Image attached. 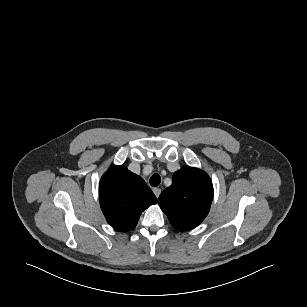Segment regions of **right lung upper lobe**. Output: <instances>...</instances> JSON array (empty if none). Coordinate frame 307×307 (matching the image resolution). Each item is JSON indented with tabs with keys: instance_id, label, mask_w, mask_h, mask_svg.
Returning a JSON list of instances; mask_svg holds the SVG:
<instances>
[{
	"instance_id": "cb5924a9",
	"label": "right lung upper lobe",
	"mask_w": 307,
	"mask_h": 307,
	"mask_svg": "<svg viewBox=\"0 0 307 307\" xmlns=\"http://www.w3.org/2000/svg\"><path fill=\"white\" fill-rule=\"evenodd\" d=\"M99 200L107 222L124 232L135 228L141 213L157 198L138 175L124 166H114L102 176Z\"/></svg>"
}]
</instances>
